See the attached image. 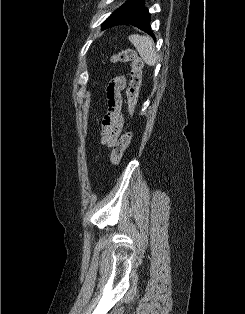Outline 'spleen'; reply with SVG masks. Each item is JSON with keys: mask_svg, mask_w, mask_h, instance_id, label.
<instances>
[{"mask_svg": "<svg viewBox=\"0 0 245 314\" xmlns=\"http://www.w3.org/2000/svg\"><path fill=\"white\" fill-rule=\"evenodd\" d=\"M129 40L147 65H156L158 55L151 37L133 34L129 36Z\"/></svg>", "mask_w": 245, "mask_h": 314, "instance_id": "obj_1", "label": "spleen"}]
</instances>
